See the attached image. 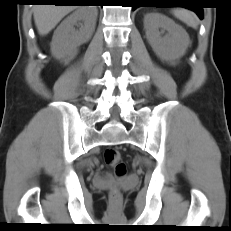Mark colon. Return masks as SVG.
<instances>
[{
	"mask_svg": "<svg viewBox=\"0 0 231 231\" xmlns=\"http://www.w3.org/2000/svg\"><path fill=\"white\" fill-rule=\"evenodd\" d=\"M104 159L107 165L115 169L118 176H123L125 174L126 167L118 150L114 148H107L104 152ZM111 198L115 201L118 200L119 192L117 190H113L111 192Z\"/></svg>",
	"mask_w": 231,
	"mask_h": 231,
	"instance_id": "5ec220e1",
	"label": "colon"
}]
</instances>
